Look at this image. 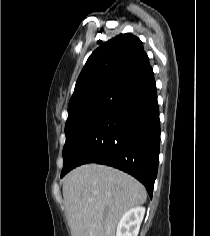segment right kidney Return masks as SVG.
Listing matches in <instances>:
<instances>
[{
	"instance_id": "1",
	"label": "right kidney",
	"mask_w": 210,
	"mask_h": 236,
	"mask_svg": "<svg viewBox=\"0 0 210 236\" xmlns=\"http://www.w3.org/2000/svg\"><path fill=\"white\" fill-rule=\"evenodd\" d=\"M144 214V207H135L125 212L117 225L116 236H137Z\"/></svg>"
}]
</instances>
